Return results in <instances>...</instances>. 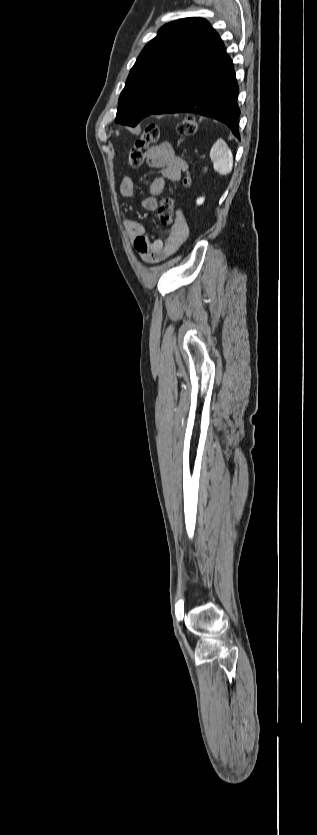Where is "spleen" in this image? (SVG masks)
Instances as JSON below:
<instances>
[{"label": "spleen", "instance_id": "obj_1", "mask_svg": "<svg viewBox=\"0 0 317 835\" xmlns=\"http://www.w3.org/2000/svg\"><path fill=\"white\" fill-rule=\"evenodd\" d=\"M210 158L213 162V168L218 174L226 176L232 172L233 155L222 138H219L213 144L210 150Z\"/></svg>", "mask_w": 317, "mask_h": 835}]
</instances>
